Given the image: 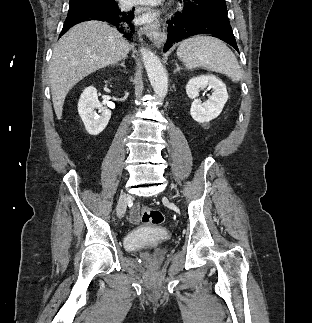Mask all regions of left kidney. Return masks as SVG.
<instances>
[{
	"label": "left kidney",
	"mask_w": 312,
	"mask_h": 323,
	"mask_svg": "<svg viewBox=\"0 0 312 323\" xmlns=\"http://www.w3.org/2000/svg\"><path fill=\"white\" fill-rule=\"evenodd\" d=\"M204 88H212V96H208L206 102L197 100L200 90ZM188 98L193 100L191 104L190 114L193 120L204 124V122H211L221 114L224 104L228 100V94L225 84L222 80H218L215 76H198V78H191L186 86Z\"/></svg>",
	"instance_id": "1"
}]
</instances>
